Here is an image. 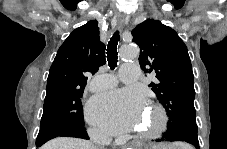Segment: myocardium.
I'll list each match as a JSON object with an SVG mask.
<instances>
[{
  "label": "myocardium",
  "mask_w": 227,
  "mask_h": 149,
  "mask_svg": "<svg viewBox=\"0 0 227 149\" xmlns=\"http://www.w3.org/2000/svg\"><path fill=\"white\" fill-rule=\"evenodd\" d=\"M150 109L156 114L157 122L147 131H139L138 137L140 139L150 140L162 135L166 130L169 122V117L166 110L159 104L149 103Z\"/></svg>",
  "instance_id": "myocardium-1"
}]
</instances>
